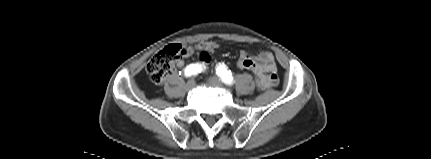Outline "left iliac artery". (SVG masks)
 Returning <instances> with one entry per match:
<instances>
[{"label":"left iliac artery","mask_w":431,"mask_h":159,"mask_svg":"<svg viewBox=\"0 0 431 159\" xmlns=\"http://www.w3.org/2000/svg\"><path fill=\"white\" fill-rule=\"evenodd\" d=\"M216 74L221 78V80L228 84V85H232L233 84V76L230 72V70H228L227 66L225 64H219L216 68Z\"/></svg>","instance_id":"obj_1"}]
</instances>
